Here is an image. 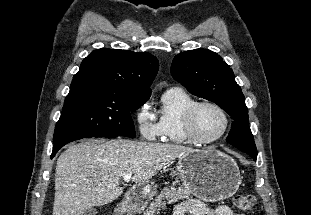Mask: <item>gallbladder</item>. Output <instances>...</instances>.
<instances>
[{
	"label": "gallbladder",
	"instance_id": "1",
	"mask_svg": "<svg viewBox=\"0 0 311 215\" xmlns=\"http://www.w3.org/2000/svg\"><path fill=\"white\" fill-rule=\"evenodd\" d=\"M97 211L95 208H89L83 212L82 215H96Z\"/></svg>",
	"mask_w": 311,
	"mask_h": 215
}]
</instances>
